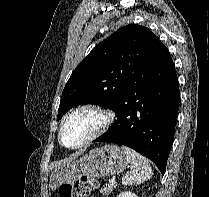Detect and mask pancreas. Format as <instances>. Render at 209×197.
<instances>
[{"mask_svg":"<svg viewBox=\"0 0 209 197\" xmlns=\"http://www.w3.org/2000/svg\"><path fill=\"white\" fill-rule=\"evenodd\" d=\"M116 183L114 184H106L102 189H101V193L104 194V195H109L114 188H116Z\"/></svg>","mask_w":209,"mask_h":197,"instance_id":"1","label":"pancreas"}]
</instances>
